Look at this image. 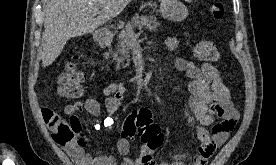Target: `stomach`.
Here are the masks:
<instances>
[{
    "label": "stomach",
    "mask_w": 276,
    "mask_h": 165,
    "mask_svg": "<svg viewBox=\"0 0 276 165\" xmlns=\"http://www.w3.org/2000/svg\"><path fill=\"white\" fill-rule=\"evenodd\" d=\"M159 12L164 18L174 22L182 21L188 15L187 7L179 0H160ZM107 35L109 32L105 29L97 31L95 34L99 39H103Z\"/></svg>",
    "instance_id": "stomach-1"
}]
</instances>
